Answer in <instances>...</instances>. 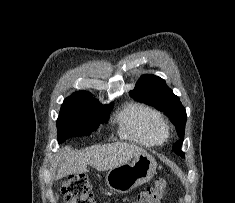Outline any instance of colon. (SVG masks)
Returning <instances> with one entry per match:
<instances>
[{
	"mask_svg": "<svg viewBox=\"0 0 235 203\" xmlns=\"http://www.w3.org/2000/svg\"><path fill=\"white\" fill-rule=\"evenodd\" d=\"M165 181L158 179L154 185L137 193L129 203H160L165 195ZM66 203H96L91 185L85 175L69 176L62 186Z\"/></svg>",
	"mask_w": 235,
	"mask_h": 203,
	"instance_id": "1",
	"label": "colon"
}]
</instances>
